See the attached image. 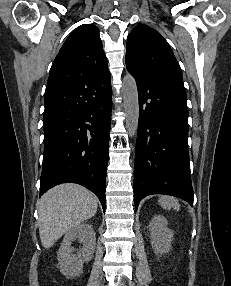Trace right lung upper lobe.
<instances>
[{
    "instance_id": "cb5924a9",
    "label": "right lung upper lobe",
    "mask_w": 231,
    "mask_h": 286,
    "mask_svg": "<svg viewBox=\"0 0 231 286\" xmlns=\"http://www.w3.org/2000/svg\"><path fill=\"white\" fill-rule=\"evenodd\" d=\"M109 74L99 29L83 24L67 38L50 70L45 109L64 100L79 84Z\"/></svg>"
}]
</instances>
